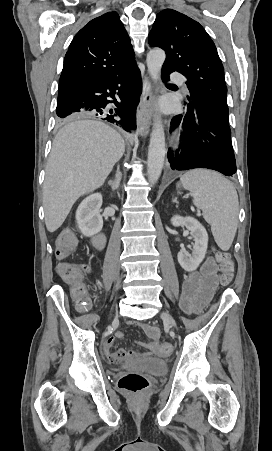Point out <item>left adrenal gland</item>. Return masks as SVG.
<instances>
[{
    "mask_svg": "<svg viewBox=\"0 0 272 451\" xmlns=\"http://www.w3.org/2000/svg\"><path fill=\"white\" fill-rule=\"evenodd\" d=\"M172 202H176V204H178L177 198H174V200H172Z\"/></svg>",
    "mask_w": 272,
    "mask_h": 451,
    "instance_id": "1",
    "label": "left adrenal gland"
}]
</instances>
